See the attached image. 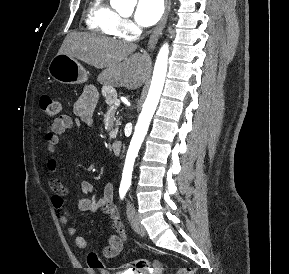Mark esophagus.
Instances as JSON below:
<instances>
[{
  "mask_svg": "<svg viewBox=\"0 0 289 274\" xmlns=\"http://www.w3.org/2000/svg\"><path fill=\"white\" fill-rule=\"evenodd\" d=\"M170 7H171V0H165V12L161 18V20L159 21V23L157 24V26L153 29L150 38L148 40V44H147V50L151 51L154 49L160 35L162 34V31L166 25L167 22V18L170 12Z\"/></svg>",
  "mask_w": 289,
  "mask_h": 274,
  "instance_id": "1",
  "label": "esophagus"
}]
</instances>
